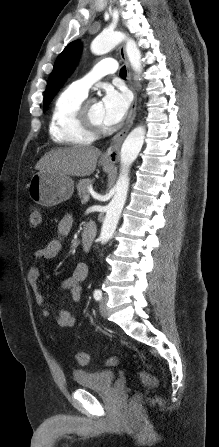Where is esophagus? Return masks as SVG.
<instances>
[{
  "instance_id": "esophagus-1",
  "label": "esophagus",
  "mask_w": 219,
  "mask_h": 447,
  "mask_svg": "<svg viewBox=\"0 0 219 447\" xmlns=\"http://www.w3.org/2000/svg\"><path fill=\"white\" fill-rule=\"evenodd\" d=\"M119 53H120L121 59L124 61L126 68H127V79H128L130 88L134 93V101L131 105V109H130V112H129V115H128V118L126 120L124 127L112 138L110 145L107 147V149L105 150V152L102 155L103 161L110 163V164L116 163L119 158L120 146H121L123 140L125 139L127 133L129 132L130 128L133 125L134 119L136 117V107H137V94H136L135 88L132 83L131 71H130L129 63H128V60L126 57L124 44L120 45Z\"/></svg>"
}]
</instances>
